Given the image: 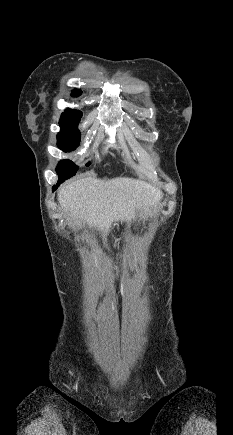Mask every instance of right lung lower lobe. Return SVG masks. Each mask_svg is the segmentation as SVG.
I'll return each instance as SVG.
<instances>
[{
  "mask_svg": "<svg viewBox=\"0 0 233 435\" xmlns=\"http://www.w3.org/2000/svg\"><path fill=\"white\" fill-rule=\"evenodd\" d=\"M60 185V182H58L54 187H53V191L57 189V187Z\"/></svg>",
  "mask_w": 233,
  "mask_h": 435,
  "instance_id": "1",
  "label": "right lung lower lobe"
}]
</instances>
